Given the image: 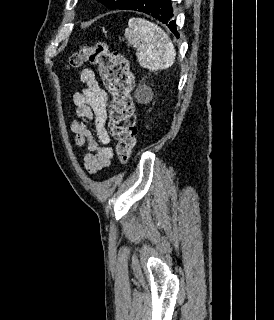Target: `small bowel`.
<instances>
[{
    "label": "small bowel",
    "instance_id": "obj_1",
    "mask_svg": "<svg viewBox=\"0 0 274 320\" xmlns=\"http://www.w3.org/2000/svg\"><path fill=\"white\" fill-rule=\"evenodd\" d=\"M82 89L73 96L76 117L70 121V129L75 134L74 145L81 148L87 143L83 156V165L90 173H96L110 165L114 149L110 145V136L106 129L108 119L107 92L99 85L96 73L85 68L80 73ZM94 121V128L88 126Z\"/></svg>",
    "mask_w": 274,
    "mask_h": 320
}]
</instances>
